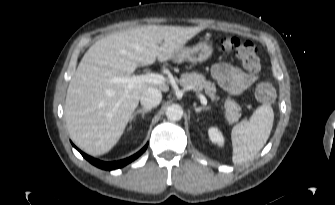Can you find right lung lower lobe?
I'll use <instances>...</instances> for the list:
<instances>
[{
	"instance_id": "1",
	"label": "right lung lower lobe",
	"mask_w": 335,
	"mask_h": 205,
	"mask_svg": "<svg viewBox=\"0 0 335 205\" xmlns=\"http://www.w3.org/2000/svg\"><path fill=\"white\" fill-rule=\"evenodd\" d=\"M147 148V145L144 146L139 152H137L136 154H134L133 156L120 160V161H115V162H103L97 159H94L88 155H86L85 153H83L82 151H80L78 149V151L82 154V156L87 159L90 163H92L93 165L101 168V169H105V170H113V169H117L120 167H123L125 165H127L128 163L132 162L133 160H135L136 158H138Z\"/></svg>"
}]
</instances>
